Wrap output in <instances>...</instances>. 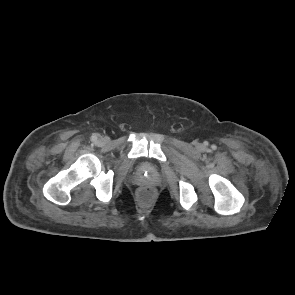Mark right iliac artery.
Segmentation results:
<instances>
[{
    "label": "right iliac artery",
    "mask_w": 295,
    "mask_h": 295,
    "mask_svg": "<svg viewBox=\"0 0 295 295\" xmlns=\"http://www.w3.org/2000/svg\"><path fill=\"white\" fill-rule=\"evenodd\" d=\"M91 140L92 141H96L97 140V136L96 135H92Z\"/></svg>",
    "instance_id": "82829eb1"
}]
</instances>
